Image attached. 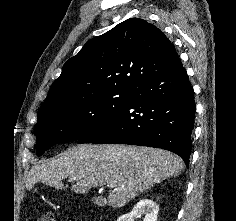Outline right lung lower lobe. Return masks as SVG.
<instances>
[{"instance_id": "1", "label": "right lung lower lobe", "mask_w": 236, "mask_h": 221, "mask_svg": "<svg viewBox=\"0 0 236 221\" xmlns=\"http://www.w3.org/2000/svg\"><path fill=\"white\" fill-rule=\"evenodd\" d=\"M193 88L179 57L139 83L130 99L78 143H117L169 150L189 164L194 128Z\"/></svg>"}]
</instances>
